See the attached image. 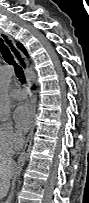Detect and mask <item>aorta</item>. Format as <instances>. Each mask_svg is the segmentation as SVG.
Returning a JSON list of instances; mask_svg holds the SVG:
<instances>
[{"mask_svg":"<svg viewBox=\"0 0 89 203\" xmlns=\"http://www.w3.org/2000/svg\"><path fill=\"white\" fill-rule=\"evenodd\" d=\"M13 72L10 68L6 67L1 73V92H0V119L2 121L8 120L11 113V100L6 91L7 86L10 83ZM6 203H13V200L9 198Z\"/></svg>","mask_w":89,"mask_h":203,"instance_id":"obj_1","label":"aorta"}]
</instances>
